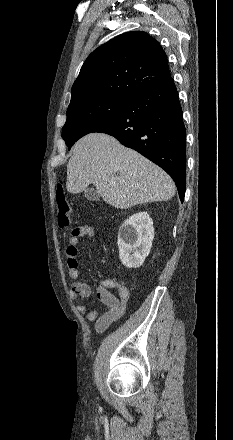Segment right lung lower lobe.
Returning <instances> with one entry per match:
<instances>
[{"label":"right lung lower lobe","mask_w":233,"mask_h":440,"mask_svg":"<svg viewBox=\"0 0 233 440\" xmlns=\"http://www.w3.org/2000/svg\"><path fill=\"white\" fill-rule=\"evenodd\" d=\"M95 132L109 134L163 168L183 202L186 187V130L174 81L141 91Z\"/></svg>","instance_id":"98d812e1"}]
</instances>
